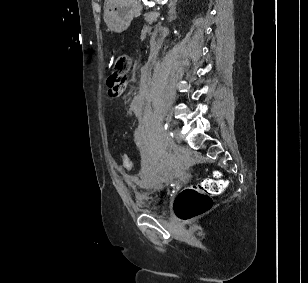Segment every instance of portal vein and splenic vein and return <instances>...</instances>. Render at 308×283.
<instances>
[{"mask_svg":"<svg viewBox=\"0 0 308 283\" xmlns=\"http://www.w3.org/2000/svg\"><path fill=\"white\" fill-rule=\"evenodd\" d=\"M154 14L156 15V17H158V16H159V12H155Z\"/></svg>","mask_w":308,"mask_h":283,"instance_id":"18ae733b","label":"portal vein and splenic vein"}]
</instances>
